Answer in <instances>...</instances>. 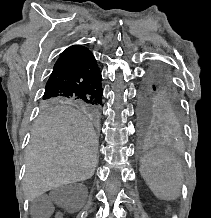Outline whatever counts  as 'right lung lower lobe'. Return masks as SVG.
<instances>
[{"mask_svg": "<svg viewBox=\"0 0 211 218\" xmlns=\"http://www.w3.org/2000/svg\"><path fill=\"white\" fill-rule=\"evenodd\" d=\"M101 73L89 50L60 56L45 86L44 97H75L102 104Z\"/></svg>", "mask_w": 211, "mask_h": 218, "instance_id": "98d812e1", "label": "right lung lower lobe"}]
</instances>
